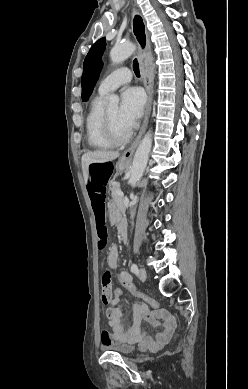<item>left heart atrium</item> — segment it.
<instances>
[{"label":"left heart atrium","instance_id":"left-heart-atrium-1","mask_svg":"<svg viewBox=\"0 0 248 389\" xmlns=\"http://www.w3.org/2000/svg\"><path fill=\"white\" fill-rule=\"evenodd\" d=\"M144 102V94L139 88L130 87L122 92L119 118L129 131L142 116Z\"/></svg>","mask_w":248,"mask_h":389}]
</instances>
